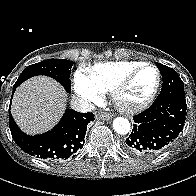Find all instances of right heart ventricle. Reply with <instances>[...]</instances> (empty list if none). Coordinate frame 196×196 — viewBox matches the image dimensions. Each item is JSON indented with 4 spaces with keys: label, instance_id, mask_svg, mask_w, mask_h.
Returning a JSON list of instances; mask_svg holds the SVG:
<instances>
[{
    "label": "right heart ventricle",
    "instance_id": "1",
    "mask_svg": "<svg viewBox=\"0 0 196 196\" xmlns=\"http://www.w3.org/2000/svg\"><path fill=\"white\" fill-rule=\"evenodd\" d=\"M143 64L141 61L103 62L92 66L88 75L102 92H111L115 85L131 70Z\"/></svg>",
    "mask_w": 196,
    "mask_h": 196
}]
</instances>
